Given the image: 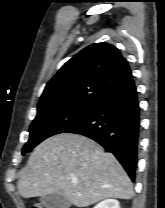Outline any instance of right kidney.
<instances>
[{
	"instance_id": "ca27d5eb",
	"label": "right kidney",
	"mask_w": 165,
	"mask_h": 208,
	"mask_svg": "<svg viewBox=\"0 0 165 208\" xmlns=\"http://www.w3.org/2000/svg\"><path fill=\"white\" fill-rule=\"evenodd\" d=\"M94 208H120V205L116 199H106L98 203Z\"/></svg>"
}]
</instances>
